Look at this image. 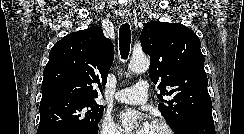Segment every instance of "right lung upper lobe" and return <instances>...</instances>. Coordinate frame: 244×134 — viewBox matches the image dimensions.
I'll return each mask as SVG.
<instances>
[{"label": "right lung upper lobe", "instance_id": "1", "mask_svg": "<svg viewBox=\"0 0 244 134\" xmlns=\"http://www.w3.org/2000/svg\"><path fill=\"white\" fill-rule=\"evenodd\" d=\"M114 58L113 43L98 26L73 32L58 41L44 69L42 99L56 97L96 102V85L107 82Z\"/></svg>", "mask_w": 244, "mask_h": 134}]
</instances>
